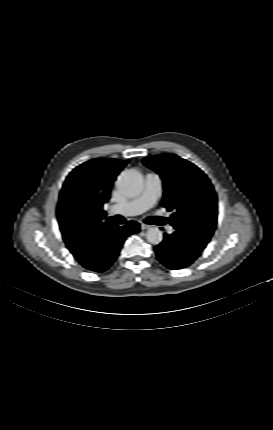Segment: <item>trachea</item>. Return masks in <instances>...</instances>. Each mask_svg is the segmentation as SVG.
<instances>
[{"mask_svg": "<svg viewBox=\"0 0 273 430\" xmlns=\"http://www.w3.org/2000/svg\"><path fill=\"white\" fill-rule=\"evenodd\" d=\"M117 221H118L119 223H121V222H123V218H122V217H120V216H118V217H117Z\"/></svg>", "mask_w": 273, "mask_h": 430, "instance_id": "1", "label": "trachea"}]
</instances>
